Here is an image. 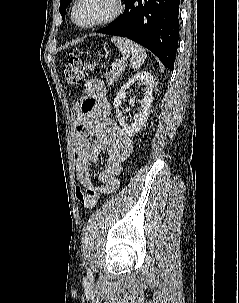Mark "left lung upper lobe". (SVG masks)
Here are the masks:
<instances>
[{
    "label": "left lung upper lobe",
    "mask_w": 239,
    "mask_h": 303,
    "mask_svg": "<svg viewBox=\"0 0 239 303\" xmlns=\"http://www.w3.org/2000/svg\"><path fill=\"white\" fill-rule=\"evenodd\" d=\"M72 0H60V8H59V12L62 16L63 19H65V10L66 7L68 6V4L71 2Z\"/></svg>",
    "instance_id": "5c2ea615"
}]
</instances>
